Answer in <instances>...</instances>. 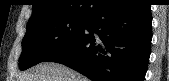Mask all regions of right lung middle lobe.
<instances>
[{"label": "right lung middle lobe", "instance_id": "dd1d6c3e", "mask_svg": "<svg viewBox=\"0 0 169 81\" xmlns=\"http://www.w3.org/2000/svg\"><path fill=\"white\" fill-rule=\"evenodd\" d=\"M87 16L47 17L27 24L19 59L20 70L28 69L60 50L84 28Z\"/></svg>", "mask_w": 169, "mask_h": 81}]
</instances>
